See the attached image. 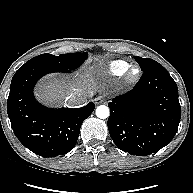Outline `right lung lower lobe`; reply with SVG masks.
I'll use <instances>...</instances> for the list:
<instances>
[{
    "label": "right lung lower lobe",
    "mask_w": 193,
    "mask_h": 193,
    "mask_svg": "<svg viewBox=\"0 0 193 193\" xmlns=\"http://www.w3.org/2000/svg\"><path fill=\"white\" fill-rule=\"evenodd\" d=\"M52 72L42 67L20 68L14 74L7 101L11 126L19 141L29 150L43 157L68 153L76 144L83 121L95 105L77 108L50 109L38 103L33 95L36 82Z\"/></svg>",
    "instance_id": "98d812e1"
}]
</instances>
